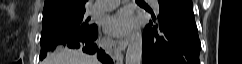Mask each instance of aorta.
<instances>
[{"label": "aorta", "mask_w": 242, "mask_h": 64, "mask_svg": "<svg viewBox=\"0 0 242 64\" xmlns=\"http://www.w3.org/2000/svg\"><path fill=\"white\" fill-rule=\"evenodd\" d=\"M142 61V33L137 30L129 40L126 52V64H141Z\"/></svg>", "instance_id": "aorta-1"}]
</instances>
